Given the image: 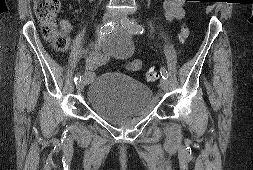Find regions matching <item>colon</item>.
Masks as SVG:
<instances>
[{
  "label": "colon",
  "instance_id": "obj_1",
  "mask_svg": "<svg viewBox=\"0 0 253 170\" xmlns=\"http://www.w3.org/2000/svg\"><path fill=\"white\" fill-rule=\"evenodd\" d=\"M194 1V0H187ZM34 12L41 24L43 36L49 40L56 51L64 52L69 46L68 36L56 26L55 19L60 10L59 0H33ZM190 36V30L186 24H183L180 30V39L186 41ZM146 79L154 82L159 79V73L156 70L146 72Z\"/></svg>",
  "mask_w": 253,
  "mask_h": 170
}]
</instances>
